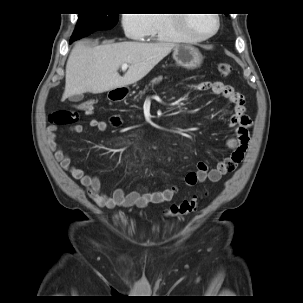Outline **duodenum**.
I'll return each instance as SVG.
<instances>
[{"mask_svg":"<svg viewBox=\"0 0 303 303\" xmlns=\"http://www.w3.org/2000/svg\"><path fill=\"white\" fill-rule=\"evenodd\" d=\"M124 97L125 93L120 90L110 92V98L113 100L119 101L122 100Z\"/></svg>","mask_w":303,"mask_h":303,"instance_id":"duodenum-1","label":"duodenum"}]
</instances>
